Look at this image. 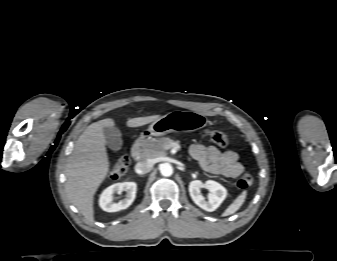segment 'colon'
<instances>
[{"label": "colon", "instance_id": "obj_1", "mask_svg": "<svg viewBox=\"0 0 337 261\" xmlns=\"http://www.w3.org/2000/svg\"><path fill=\"white\" fill-rule=\"evenodd\" d=\"M206 136L211 142L221 148H227L229 146V138L223 132L217 130H207ZM130 165V158L124 154L119 157L115 164L111 167L109 175L111 178L117 179L123 176L128 170ZM253 184V178L249 173H243L237 181V187L239 189H248Z\"/></svg>", "mask_w": 337, "mask_h": 261}]
</instances>
